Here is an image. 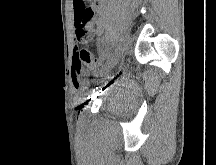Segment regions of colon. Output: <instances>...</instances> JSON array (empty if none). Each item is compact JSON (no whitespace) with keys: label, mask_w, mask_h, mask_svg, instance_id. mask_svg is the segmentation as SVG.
<instances>
[{"label":"colon","mask_w":216,"mask_h":165,"mask_svg":"<svg viewBox=\"0 0 216 165\" xmlns=\"http://www.w3.org/2000/svg\"><path fill=\"white\" fill-rule=\"evenodd\" d=\"M92 17V13H83V19L88 20ZM92 36V33L85 28L81 27L77 37L79 41H86ZM86 66L92 71H100L102 69L101 61L92 54V52L86 48H78L74 56V69L75 75H79L81 67Z\"/></svg>","instance_id":"5ec220e1"}]
</instances>
